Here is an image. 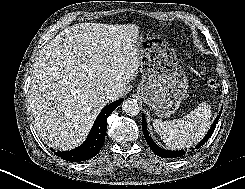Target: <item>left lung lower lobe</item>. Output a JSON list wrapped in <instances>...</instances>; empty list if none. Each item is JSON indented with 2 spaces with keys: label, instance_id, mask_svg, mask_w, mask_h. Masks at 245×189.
Returning a JSON list of instances; mask_svg holds the SVG:
<instances>
[{
  "label": "left lung lower lobe",
  "instance_id": "1",
  "mask_svg": "<svg viewBox=\"0 0 245 189\" xmlns=\"http://www.w3.org/2000/svg\"><path fill=\"white\" fill-rule=\"evenodd\" d=\"M222 111V109H221ZM221 111L219 113V115L216 117L214 123L212 124L210 130L208 131L207 135L199 142V144H197L195 146L194 149H198L199 147H201L203 144H205L206 141H208V139L210 138V136L213 134L216 124L219 120V117L221 115ZM142 130H143V134L144 137L147 141V144L149 145V147L151 148V150L158 156L163 157V158H175V157H181L183 155H185V151L184 150H179V151H171V150H165L160 148L153 140L152 138L149 136V133L147 131V125H146V120L144 117H142ZM192 149V150H194Z\"/></svg>",
  "mask_w": 245,
  "mask_h": 189
}]
</instances>
